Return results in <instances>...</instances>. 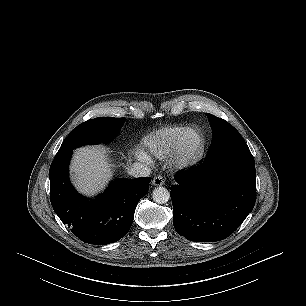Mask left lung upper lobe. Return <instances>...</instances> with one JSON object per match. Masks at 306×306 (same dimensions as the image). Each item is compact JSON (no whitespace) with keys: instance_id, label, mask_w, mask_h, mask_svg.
I'll return each instance as SVG.
<instances>
[{"instance_id":"left-lung-upper-lobe-1","label":"left lung upper lobe","mask_w":306,"mask_h":306,"mask_svg":"<svg viewBox=\"0 0 306 306\" xmlns=\"http://www.w3.org/2000/svg\"><path fill=\"white\" fill-rule=\"evenodd\" d=\"M213 130V142L209 155L229 149L247 148L240 133L228 122L207 113Z\"/></svg>"}]
</instances>
